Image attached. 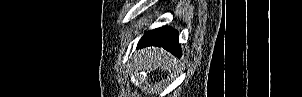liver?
Instances as JSON below:
<instances>
[{
	"instance_id": "1",
	"label": "liver",
	"mask_w": 302,
	"mask_h": 97,
	"mask_svg": "<svg viewBox=\"0 0 302 97\" xmlns=\"http://www.w3.org/2000/svg\"><path fill=\"white\" fill-rule=\"evenodd\" d=\"M145 52L150 64L154 67H159L162 71H167L175 65L173 56L162 48L150 47Z\"/></svg>"
}]
</instances>
